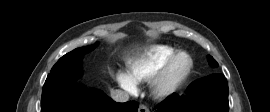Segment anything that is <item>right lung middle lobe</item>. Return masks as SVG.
<instances>
[{
  "label": "right lung middle lobe",
  "mask_w": 270,
  "mask_h": 112,
  "mask_svg": "<svg viewBox=\"0 0 270 112\" xmlns=\"http://www.w3.org/2000/svg\"><path fill=\"white\" fill-rule=\"evenodd\" d=\"M97 44L77 48L63 57L53 66L45 82L61 84L64 81H76L82 76V58L85 53L92 51Z\"/></svg>",
  "instance_id": "obj_1"
}]
</instances>
